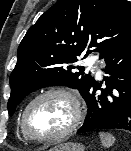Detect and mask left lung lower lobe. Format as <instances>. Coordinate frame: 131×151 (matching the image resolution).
I'll return each mask as SVG.
<instances>
[{"mask_svg":"<svg viewBox=\"0 0 131 151\" xmlns=\"http://www.w3.org/2000/svg\"><path fill=\"white\" fill-rule=\"evenodd\" d=\"M107 77L93 81L85 96L87 115L77 133L94 129L131 132V40L105 57ZM105 85V89L101 86ZM101 90V93H96Z\"/></svg>","mask_w":131,"mask_h":151,"instance_id":"1","label":"left lung lower lobe"}]
</instances>
